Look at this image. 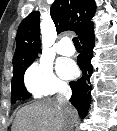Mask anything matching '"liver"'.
<instances>
[{
	"label": "liver",
	"instance_id": "6515ba94",
	"mask_svg": "<svg viewBox=\"0 0 117 131\" xmlns=\"http://www.w3.org/2000/svg\"><path fill=\"white\" fill-rule=\"evenodd\" d=\"M77 112L73 109V120ZM68 115L58 100L47 99L24 106L15 118L12 131H67Z\"/></svg>",
	"mask_w": 117,
	"mask_h": 131
}]
</instances>
